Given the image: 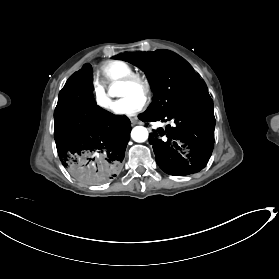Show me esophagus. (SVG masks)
Here are the masks:
<instances>
[{
    "mask_svg": "<svg viewBox=\"0 0 279 279\" xmlns=\"http://www.w3.org/2000/svg\"><path fill=\"white\" fill-rule=\"evenodd\" d=\"M130 121L132 122V124H139V123H140V122L138 121V118H137V117L130 118Z\"/></svg>",
    "mask_w": 279,
    "mask_h": 279,
    "instance_id": "34e87169",
    "label": "esophagus"
}]
</instances>
